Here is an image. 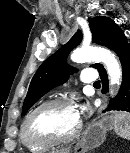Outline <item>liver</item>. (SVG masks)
Instances as JSON below:
<instances>
[{
	"instance_id": "obj_1",
	"label": "liver",
	"mask_w": 130,
	"mask_h": 153,
	"mask_svg": "<svg viewBox=\"0 0 130 153\" xmlns=\"http://www.w3.org/2000/svg\"><path fill=\"white\" fill-rule=\"evenodd\" d=\"M57 153H69V150H60L59 152H57Z\"/></svg>"
}]
</instances>
